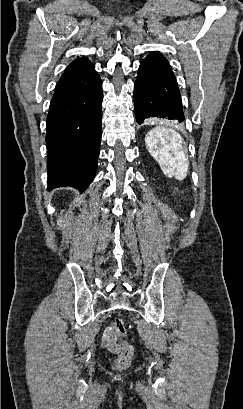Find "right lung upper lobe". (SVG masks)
<instances>
[{
  "mask_svg": "<svg viewBox=\"0 0 243 409\" xmlns=\"http://www.w3.org/2000/svg\"><path fill=\"white\" fill-rule=\"evenodd\" d=\"M93 64L86 58L75 59L67 68L66 72H79L92 67Z\"/></svg>",
  "mask_w": 243,
  "mask_h": 409,
  "instance_id": "obj_1",
  "label": "right lung upper lobe"
}]
</instances>
